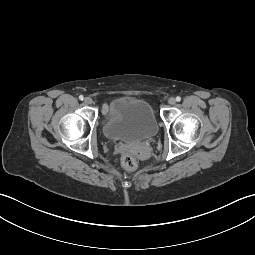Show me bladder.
<instances>
[{"label":"bladder","mask_w":255,"mask_h":255,"mask_svg":"<svg viewBox=\"0 0 255 255\" xmlns=\"http://www.w3.org/2000/svg\"><path fill=\"white\" fill-rule=\"evenodd\" d=\"M103 131L113 140H145L158 133L159 124L150 103L133 97H119L108 106Z\"/></svg>","instance_id":"obj_1"}]
</instances>
